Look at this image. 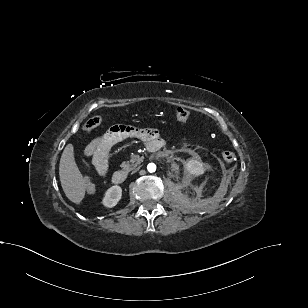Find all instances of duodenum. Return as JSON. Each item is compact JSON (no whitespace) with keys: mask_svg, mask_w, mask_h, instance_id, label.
Wrapping results in <instances>:
<instances>
[{"mask_svg":"<svg viewBox=\"0 0 308 308\" xmlns=\"http://www.w3.org/2000/svg\"><path fill=\"white\" fill-rule=\"evenodd\" d=\"M147 151L148 152H156L157 150H160L162 148V142L160 141H151L147 144ZM127 178V173L123 170L115 171L112 175V182L114 184H122L125 182Z\"/></svg>","mask_w":308,"mask_h":308,"instance_id":"1","label":"duodenum"}]
</instances>
